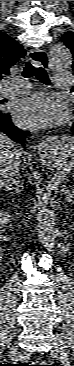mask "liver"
I'll return each mask as SVG.
<instances>
[{
    "label": "liver",
    "mask_w": 74,
    "mask_h": 366,
    "mask_svg": "<svg viewBox=\"0 0 74 366\" xmlns=\"http://www.w3.org/2000/svg\"><path fill=\"white\" fill-rule=\"evenodd\" d=\"M21 163L29 167L24 149L8 136L0 134V186L19 175ZM29 169H31L29 167Z\"/></svg>",
    "instance_id": "6515ba94"
}]
</instances>
